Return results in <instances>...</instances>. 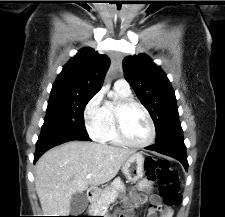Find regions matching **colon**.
Segmentation results:
<instances>
[{
    "label": "colon",
    "instance_id": "colon-1",
    "mask_svg": "<svg viewBox=\"0 0 225 217\" xmlns=\"http://www.w3.org/2000/svg\"><path fill=\"white\" fill-rule=\"evenodd\" d=\"M146 176L149 180L157 182L159 192L165 207L178 206L181 203L179 177L171 164L162 159L147 157L144 163Z\"/></svg>",
    "mask_w": 225,
    "mask_h": 217
}]
</instances>
